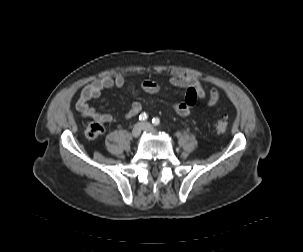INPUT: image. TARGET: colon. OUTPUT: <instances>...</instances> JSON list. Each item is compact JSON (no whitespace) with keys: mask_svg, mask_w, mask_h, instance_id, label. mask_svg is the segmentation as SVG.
Segmentation results:
<instances>
[{"mask_svg":"<svg viewBox=\"0 0 303 252\" xmlns=\"http://www.w3.org/2000/svg\"><path fill=\"white\" fill-rule=\"evenodd\" d=\"M215 128L220 133L226 132L228 128L227 121L224 118L218 119L215 123ZM103 133L104 127L100 122L96 121L88 124L86 129V137L88 139H95L101 136Z\"/></svg>","mask_w":303,"mask_h":252,"instance_id":"obj_1","label":"colon"}]
</instances>
